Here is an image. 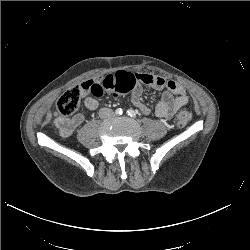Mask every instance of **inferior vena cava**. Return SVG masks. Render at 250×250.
Instances as JSON below:
<instances>
[{"label":"inferior vena cava","instance_id":"602c4592","mask_svg":"<svg viewBox=\"0 0 250 250\" xmlns=\"http://www.w3.org/2000/svg\"><path fill=\"white\" fill-rule=\"evenodd\" d=\"M105 111V108L101 109V112H104ZM110 113H112V111H110Z\"/></svg>","mask_w":250,"mask_h":250}]
</instances>
